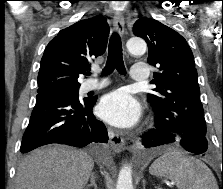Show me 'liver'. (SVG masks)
I'll use <instances>...</instances> for the list:
<instances>
[{"label": "liver", "mask_w": 223, "mask_h": 189, "mask_svg": "<svg viewBox=\"0 0 223 189\" xmlns=\"http://www.w3.org/2000/svg\"><path fill=\"white\" fill-rule=\"evenodd\" d=\"M94 167L93 158L64 145L38 148L19 164L15 189H83Z\"/></svg>", "instance_id": "liver-1"}]
</instances>
